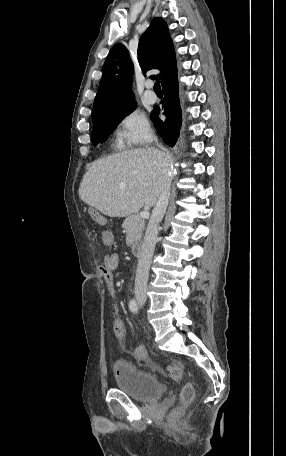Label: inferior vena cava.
Instances as JSON below:
<instances>
[{
	"label": "inferior vena cava",
	"mask_w": 286,
	"mask_h": 456,
	"mask_svg": "<svg viewBox=\"0 0 286 456\" xmlns=\"http://www.w3.org/2000/svg\"><path fill=\"white\" fill-rule=\"evenodd\" d=\"M157 143V138H154ZM170 196V179L169 176L164 178L160 184L158 199L152 212V216L146 228L143 244L141 247L136 278H135V296L146 297L147 282L150 265L157 243L158 225L162 221L166 212Z\"/></svg>",
	"instance_id": "1"
}]
</instances>
